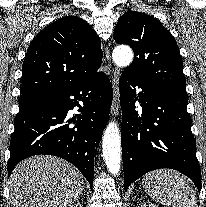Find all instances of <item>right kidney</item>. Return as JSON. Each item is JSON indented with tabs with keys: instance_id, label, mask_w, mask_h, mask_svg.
Listing matches in <instances>:
<instances>
[{
	"instance_id": "obj_1",
	"label": "right kidney",
	"mask_w": 206,
	"mask_h": 207,
	"mask_svg": "<svg viewBox=\"0 0 206 207\" xmlns=\"http://www.w3.org/2000/svg\"><path fill=\"white\" fill-rule=\"evenodd\" d=\"M70 207H83L81 203L72 204Z\"/></svg>"
}]
</instances>
